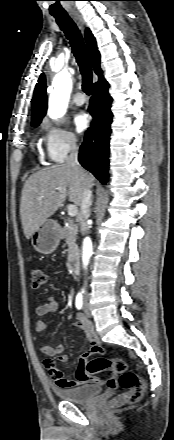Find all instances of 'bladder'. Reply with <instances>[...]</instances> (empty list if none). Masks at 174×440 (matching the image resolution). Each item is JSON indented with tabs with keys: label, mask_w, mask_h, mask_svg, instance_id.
<instances>
[{
	"label": "bladder",
	"mask_w": 174,
	"mask_h": 440,
	"mask_svg": "<svg viewBox=\"0 0 174 440\" xmlns=\"http://www.w3.org/2000/svg\"><path fill=\"white\" fill-rule=\"evenodd\" d=\"M101 388L98 385H80L71 389H56V395L67 402L86 403L98 396Z\"/></svg>",
	"instance_id": "31cf9c89"
}]
</instances>
